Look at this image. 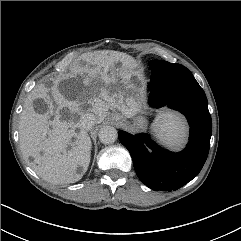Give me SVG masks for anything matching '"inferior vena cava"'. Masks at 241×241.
I'll return each mask as SVG.
<instances>
[{
    "instance_id": "602c4592",
    "label": "inferior vena cava",
    "mask_w": 241,
    "mask_h": 241,
    "mask_svg": "<svg viewBox=\"0 0 241 241\" xmlns=\"http://www.w3.org/2000/svg\"><path fill=\"white\" fill-rule=\"evenodd\" d=\"M96 124V117L93 113H85L79 120V125L84 130L88 131Z\"/></svg>"
}]
</instances>
